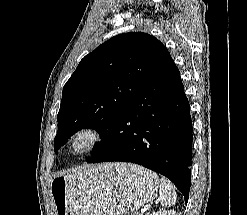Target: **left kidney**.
Segmentation results:
<instances>
[{
	"label": "left kidney",
	"mask_w": 247,
	"mask_h": 215,
	"mask_svg": "<svg viewBox=\"0 0 247 215\" xmlns=\"http://www.w3.org/2000/svg\"><path fill=\"white\" fill-rule=\"evenodd\" d=\"M151 215H176L174 210H160L158 212H154Z\"/></svg>",
	"instance_id": "5707ae66"
}]
</instances>
